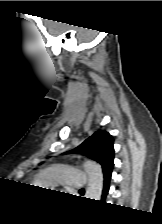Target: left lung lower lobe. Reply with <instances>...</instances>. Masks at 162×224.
Segmentation results:
<instances>
[{
	"label": "left lung lower lobe",
	"instance_id": "0a47b994",
	"mask_svg": "<svg viewBox=\"0 0 162 224\" xmlns=\"http://www.w3.org/2000/svg\"><path fill=\"white\" fill-rule=\"evenodd\" d=\"M111 173H108L106 175H104V188H103V193H102V201H104L106 195L108 194V190H109V181L111 179Z\"/></svg>",
	"mask_w": 162,
	"mask_h": 224
}]
</instances>
